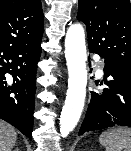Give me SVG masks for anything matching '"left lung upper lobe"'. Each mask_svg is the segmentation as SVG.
<instances>
[{"instance_id": "1", "label": "left lung upper lobe", "mask_w": 131, "mask_h": 151, "mask_svg": "<svg viewBox=\"0 0 131 151\" xmlns=\"http://www.w3.org/2000/svg\"><path fill=\"white\" fill-rule=\"evenodd\" d=\"M77 19L87 27L89 51L131 72V3L128 0H79Z\"/></svg>"}]
</instances>
